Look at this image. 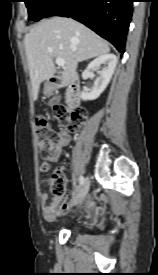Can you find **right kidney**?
<instances>
[{
  "label": "right kidney",
  "instance_id": "obj_1",
  "mask_svg": "<svg viewBox=\"0 0 158 275\" xmlns=\"http://www.w3.org/2000/svg\"><path fill=\"white\" fill-rule=\"evenodd\" d=\"M101 65H104V69L100 72V76L94 82L93 88L81 92L80 97L82 100H95L102 94L112 78L117 65V57L114 54H104L97 57L87 66L86 70L83 72V76L91 75L92 72Z\"/></svg>",
  "mask_w": 158,
  "mask_h": 275
}]
</instances>
